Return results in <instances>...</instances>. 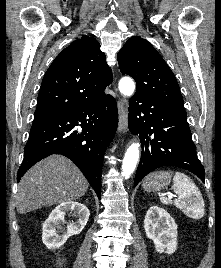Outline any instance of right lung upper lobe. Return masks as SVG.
<instances>
[{
    "label": "right lung upper lobe",
    "instance_id": "obj_1",
    "mask_svg": "<svg viewBox=\"0 0 221 268\" xmlns=\"http://www.w3.org/2000/svg\"><path fill=\"white\" fill-rule=\"evenodd\" d=\"M112 73L98 41L83 36L52 62L42 80L36 116L64 113L94 104L105 96Z\"/></svg>",
    "mask_w": 221,
    "mask_h": 268
}]
</instances>
